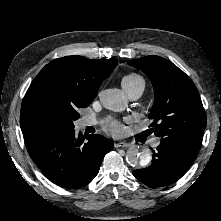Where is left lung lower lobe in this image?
Masks as SVG:
<instances>
[{
  "label": "left lung lower lobe",
  "instance_id": "0a47b994",
  "mask_svg": "<svg viewBox=\"0 0 221 221\" xmlns=\"http://www.w3.org/2000/svg\"><path fill=\"white\" fill-rule=\"evenodd\" d=\"M194 160L174 148L160 144L153 150L152 163L147 168L134 170L133 175L149 187H163L179 180Z\"/></svg>",
  "mask_w": 221,
  "mask_h": 221
}]
</instances>
